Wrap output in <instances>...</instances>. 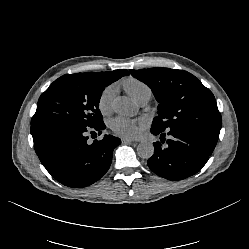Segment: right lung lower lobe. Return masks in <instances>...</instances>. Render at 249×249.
I'll return each mask as SVG.
<instances>
[{
  "mask_svg": "<svg viewBox=\"0 0 249 249\" xmlns=\"http://www.w3.org/2000/svg\"><path fill=\"white\" fill-rule=\"evenodd\" d=\"M105 124L84 127L68 123L31 125L35 151L46 170L61 184L81 188L98 181L109 169L113 150L121 140L104 135L102 140L88 141V132L99 135Z\"/></svg>",
  "mask_w": 249,
  "mask_h": 249,
  "instance_id": "right-lung-lower-lobe-1",
  "label": "right lung lower lobe"
}]
</instances>
